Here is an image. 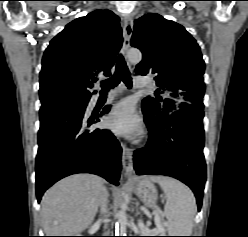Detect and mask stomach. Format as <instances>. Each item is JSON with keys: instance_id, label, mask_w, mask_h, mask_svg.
I'll return each mask as SVG.
<instances>
[{"instance_id": "0dacf381", "label": "stomach", "mask_w": 248, "mask_h": 237, "mask_svg": "<svg viewBox=\"0 0 248 237\" xmlns=\"http://www.w3.org/2000/svg\"><path fill=\"white\" fill-rule=\"evenodd\" d=\"M134 191L143 204L149 208H155L158 201V193L149 177H144L134 184Z\"/></svg>"}]
</instances>
